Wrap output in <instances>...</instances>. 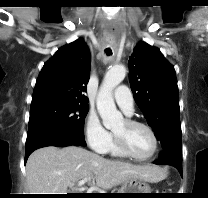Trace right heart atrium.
Segmentation results:
<instances>
[{"instance_id": "right-heart-atrium-1", "label": "right heart atrium", "mask_w": 208, "mask_h": 198, "mask_svg": "<svg viewBox=\"0 0 208 198\" xmlns=\"http://www.w3.org/2000/svg\"><path fill=\"white\" fill-rule=\"evenodd\" d=\"M85 138L89 147L99 154L106 153L112 141L111 134L102 126L97 115L91 112L85 119Z\"/></svg>"}]
</instances>
